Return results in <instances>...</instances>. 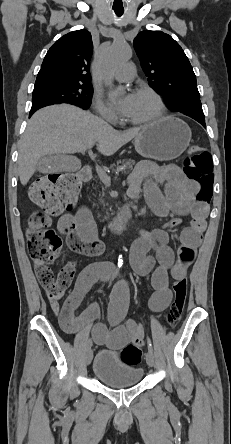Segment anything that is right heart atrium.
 I'll return each mask as SVG.
<instances>
[{
    "instance_id": "d8ad5b80",
    "label": "right heart atrium",
    "mask_w": 231,
    "mask_h": 444,
    "mask_svg": "<svg viewBox=\"0 0 231 444\" xmlns=\"http://www.w3.org/2000/svg\"><path fill=\"white\" fill-rule=\"evenodd\" d=\"M94 108L97 114L108 121H116L117 114L114 109L105 102L100 94H96L94 97Z\"/></svg>"
}]
</instances>
